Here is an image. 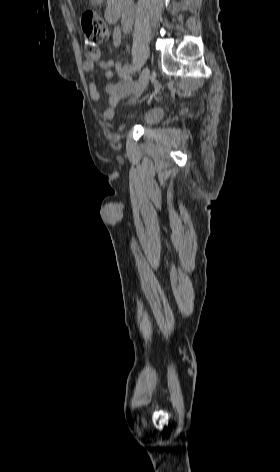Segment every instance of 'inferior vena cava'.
I'll return each instance as SVG.
<instances>
[{
    "instance_id": "inferior-vena-cava-1",
    "label": "inferior vena cava",
    "mask_w": 280,
    "mask_h": 472,
    "mask_svg": "<svg viewBox=\"0 0 280 472\" xmlns=\"http://www.w3.org/2000/svg\"><path fill=\"white\" fill-rule=\"evenodd\" d=\"M134 19V3L132 0H126L122 12V24L126 31L132 28Z\"/></svg>"
}]
</instances>
